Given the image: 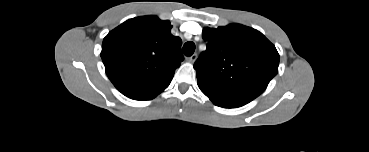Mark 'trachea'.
I'll return each instance as SVG.
<instances>
[{
	"label": "trachea",
	"mask_w": 369,
	"mask_h": 152,
	"mask_svg": "<svg viewBox=\"0 0 369 152\" xmlns=\"http://www.w3.org/2000/svg\"><path fill=\"white\" fill-rule=\"evenodd\" d=\"M195 51V44L194 42H187L183 46V53L185 56H192Z\"/></svg>",
	"instance_id": "3493384b"
}]
</instances>
